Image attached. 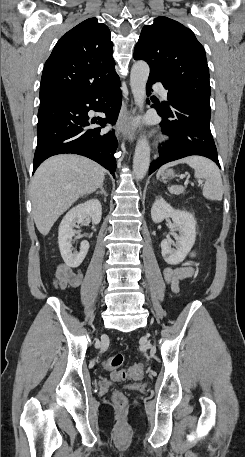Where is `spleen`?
<instances>
[{
  "instance_id": "spleen-1",
  "label": "spleen",
  "mask_w": 245,
  "mask_h": 457,
  "mask_svg": "<svg viewBox=\"0 0 245 457\" xmlns=\"http://www.w3.org/2000/svg\"><path fill=\"white\" fill-rule=\"evenodd\" d=\"M179 162H186L191 168H194L195 178H205V184L203 186V196L205 198L221 200L224 188L220 170L217 164L213 160H210V158H206V156H196V154H193V156H185V158H180V160L167 162V164H163L159 168L156 174L157 178H160V174L164 172L165 168L179 164ZM168 190L171 194H181L185 188L181 184H172V186H168Z\"/></svg>"
}]
</instances>
